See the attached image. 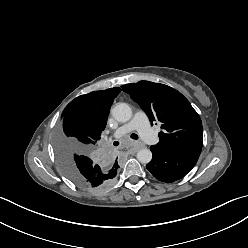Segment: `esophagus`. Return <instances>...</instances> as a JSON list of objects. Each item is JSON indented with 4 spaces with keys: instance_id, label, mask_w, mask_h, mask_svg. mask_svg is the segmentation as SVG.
I'll list each match as a JSON object with an SVG mask.
<instances>
[{
    "instance_id": "obj_1",
    "label": "esophagus",
    "mask_w": 248,
    "mask_h": 248,
    "mask_svg": "<svg viewBox=\"0 0 248 248\" xmlns=\"http://www.w3.org/2000/svg\"><path fill=\"white\" fill-rule=\"evenodd\" d=\"M142 147V145L141 144H139V145H134L132 148V150H134V151H137L139 148H141Z\"/></svg>"
}]
</instances>
